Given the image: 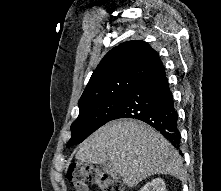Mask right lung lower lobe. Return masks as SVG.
Returning a JSON list of instances; mask_svg holds the SVG:
<instances>
[{
  "label": "right lung lower lobe",
  "instance_id": "obj_1",
  "mask_svg": "<svg viewBox=\"0 0 221 191\" xmlns=\"http://www.w3.org/2000/svg\"><path fill=\"white\" fill-rule=\"evenodd\" d=\"M119 118H133L149 124L180 149L178 113L163 66L127 93L112 120Z\"/></svg>",
  "mask_w": 221,
  "mask_h": 191
}]
</instances>
